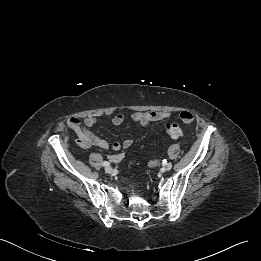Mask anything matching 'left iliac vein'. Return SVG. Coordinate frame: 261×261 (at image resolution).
Returning <instances> with one entry per match:
<instances>
[{"label":"left iliac vein","mask_w":261,"mask_h":261,"mask_svg":"<svg viewBox=\"0 0 261 261\" xmlns=\"http://www.w3.org/2000/svg\"><path fill=\"white\" fill-rule=\"evenodd\" d=\"M171 168H172V164L171 163H167L166 165H164V170L165 171H169V170H171Z\"/></svg>","instance_id":"4c4485c4"}]
</instances>
